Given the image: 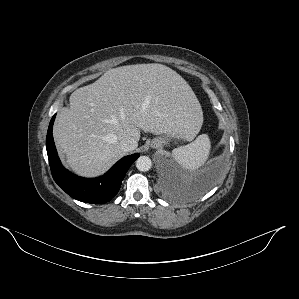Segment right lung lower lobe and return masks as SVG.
<instances>
[{
	"label": "right lung lower lobe",
	"instance_id": "98d812e1",
	"mask_svg": "<svg viewBox=\"0 0 299 299\" xmlns=\"http://www.w3.org/2000/svg\"><path fill=\"white\" fill-rule=\"evenodd\" d=\"M54 115L50 121L46 148L49 165L55 182L68 195L85 203L102 204L110 201L119 191L122 180L132 163L139 157L133 154L120 159L106 174L94 179L78 177L61 164L53 142Z\"/></svg>",
	"mask_w": 299,
	"mask_h": 299
}]
</instances>
